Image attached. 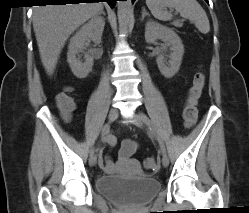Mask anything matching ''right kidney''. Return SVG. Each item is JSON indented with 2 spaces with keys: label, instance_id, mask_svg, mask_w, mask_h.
Wrapping results in <instances>:
<instances>
[{
  "label": "right kidney",
  "instance_id": "ca27d5eb",
  "mask_svg": "<svg viewBox=\"0 0 249 213\" xmlns=\"http://www.w3.org/2000/svg\"><path fill=\"white\" fill-rule=\"evenodd\" d=\"M104 26V19L94 16L70 39L67 61L71 71L77 78L83 79L92 71L93 58L89 55H85V61L82 62L80 60V53L84 52L85 46L90 40L97 44L101 42Z\"/></svg>",
  "mask_w": 249,
  "mask_h": 213
}]
</instances>
